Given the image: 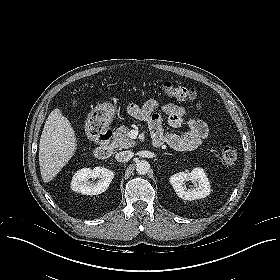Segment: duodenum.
Wrapping results in <instances>:
<instances>
[{"instance_id":"duodenum-1","label":"duodenum","mask_w":280,"mask_h":280,"mask_svg":"<svg viewBox=\"0 0 280 280\" xmlns=\"http://www.w3.org/2000/svg\"><path fill=\"white\" fill-rule=\"evenodd\" d=\"M113 130L111 128H105L100 130L95 135L97 140V146L95 149V157L99 160H105L110 158L113 155ZM163 145V141L159 138H154L152 141V146L159 148Z\"/></svg>"}]
</instances>
